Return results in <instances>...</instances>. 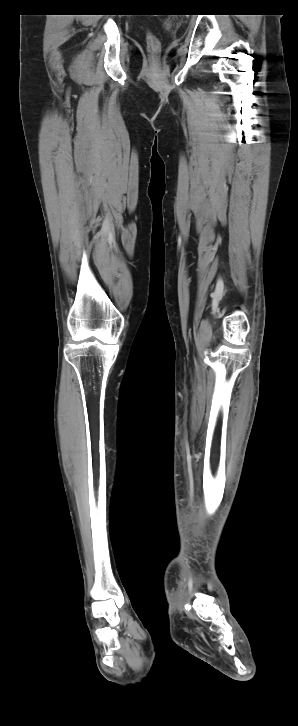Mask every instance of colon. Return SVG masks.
<instances>
[{"label":"colon","mask_w":298,"mask_h":726,"mask_svg":"<svg viewBox=\"0 0 298 726\" xmlns=\"http://www.w3.org/2000/svg\"><path fill=\"white\" fill-rule=\"evenodd\" d=\"M147 44H148L149 50L152 53H157L159 51V48H160L159 40L153 34H148L147 35Z\"/></svg>","instance_id":"1"}]
</instances>
